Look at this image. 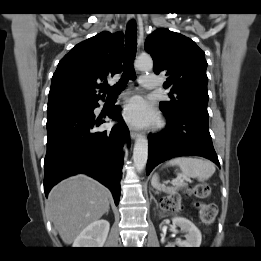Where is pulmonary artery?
Masks as SVG:
<instances>
[{
  "label": "pulmonary artery",
  "mask_w": 261,
  "mask_h": 261,
  "mask_svg": "<svg viewBox=\"0 0 261 261\" xmlns=\"http://www.w3.org/2000/svg\"><path fill=\"white\" fill-rule=\"evenodd\" d=\"M139 81L141 86L146 89H155L158 86V77L154 75H142Z\"/></svg>",
  "instance_id": "e3ab8cb5"
}]
</instances>
